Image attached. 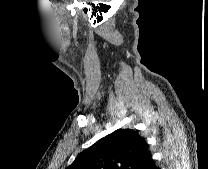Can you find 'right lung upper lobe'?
Instances as JSON below:
<instances>
[{"instance_id": "obj_1", "label": "right lung upper lobe", "mask_w": 208, "mask_h": 169, "mask_svg": "<svg viewBox=\"0 0 208 169\" xmlns=\"http://www.w3.org/2000/svg\"><path fill=\"white\" fill-rule=\"evenodd\" d=\"M152 160L145 138L132 129H117L79 153L66 169H145Z\"/></svg>"}]
</instances>
